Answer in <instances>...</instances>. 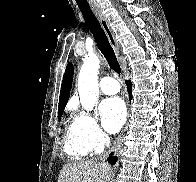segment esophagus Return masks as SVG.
<instances>
[{"label": "esophagus", "mask_w": 196, "mask_h": 182, "mask_svg": "<svg viewBox=\"0 0 196 182\" xmlns=\"http://www.w3.org/2000/svg\"><path fill=\"white\" fill-rule=\"evenodd\" d=\"M93 11H94L95 15L97 16V18L100 22V25L109 40V43L111 44V46L113 47L115 52L117 54H119L118 42L115 39L114 33L112 32L106 17L103 15V13L99 7H93Z\"/></svg>", "instance_id": "34e87169"}]
</instances>
